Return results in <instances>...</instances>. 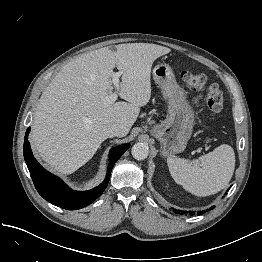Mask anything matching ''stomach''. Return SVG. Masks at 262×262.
Segmentation results:
<instances>
[{
	"mask_svg": "<svg viewBox=\"0 0 262 262\" xmlns=\"http://www.w3.org/2000/svg\"><path fill=\"white\" fill-rule=\"evenodd\" d=\"M152 74L167 100L168 115L164 121L152 127L151 133L160 141L162 154L172 157L186 148L193 130L194 112L187 101L186 91L177 83L169 65L158 64Z\"/></svg>",
	"mask_w": 262,
	"mask_h": 262,
	"instance_id": "obj_1",
	"label": "stomach"
}]
</instances>
